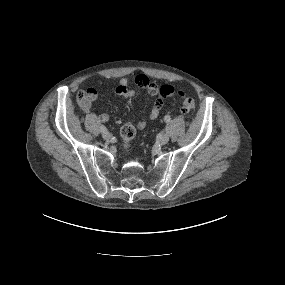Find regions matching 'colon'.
Instances as JSON below:
<instances>
[{"mask_svg": "<svg viewBox=\"0 0 285 285\" xmlns=\"http://www.w3.org/2000/svg\"><path fill=\"white\" fill-rule=\"evenodd\" d=\"M90 90L86 94L82 95V98H86ZM177 95L182 100L183 111L189 113L195 109L196 102L192 97L186 96L183 92L178 91ZM136 135V128L132 121H127L121 128V137L125 145H129Z\"/></svg>", "mask_w": 285, "mask_h": 285, "instance_id": "obj_1", "label": "colon"}]
</instances>
